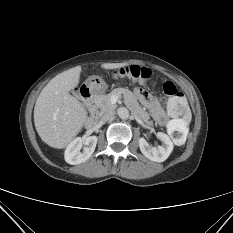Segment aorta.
I'll return each mask as SVG.
<instances>
[{"label": "aorta", "mask_w": 233, "mask_h": 233, "mask_svg": "<svg viewBox=\"0 0 233 233\" xmlns=\"http://www.w3.org/2000/svg\"><path fill=\"white\" fill-rule=\"evenodd\" d=\"M117 112H118V115H119V117L121 119H128V117H129V111H128L127 108L120 107Z\"/></svg>", "instance_id": "762f6f07"}]
</instances>
